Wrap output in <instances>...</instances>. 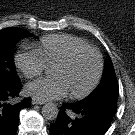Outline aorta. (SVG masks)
Segmentation results:
<instances>
[{
  "mask_svg": "<svg viewBox=\"0 0 135 135\" xmlns=\"http://www.w3.org/2000/svg\"><path fill=\"white\" fill-rule=\"evenodd\" d=\"M58 112L59 110L54 103H47L42 107V115L47 120H55Z\"/></svg>",
  "mask_w": 135,
  "mask_h": 135,
  "instance_id": "obj_1",
  "label": "aorta"
}]
</instances>
